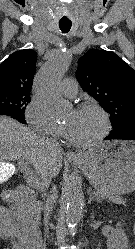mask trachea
I'll use <instances>...</instances> for the list:
<instances>
[{
	"label": "trachea",
	"mask_w": 135,
	"mask_h": 249,
	"mask_svg": "<svg viewBox=\"0 0 135 249\" xmlns=\"http://www.w3.org/2000/svg\"><path fill=\"white\" fill-rule=\"evenodd\" d=\"M72 26L71 22H59V28L63 33H68Z\"/></svg>",
	"instance_id": "obj_1"
}]
</instances>
